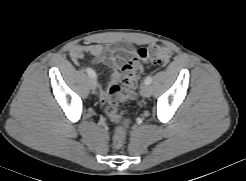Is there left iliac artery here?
<instances>
[{"instance_id":"obj_1","label":"left iliac artery","mask_w":246,"mask_h":181,"mask_svg":"<svg viewBox=\"0 0 246 181\" xmlns=\"http://www.w3.org/2000/svg\"><path fill=\"white\" fill-rule=\"evenodd\" d=\"M152 82V76H147L145 78V84H150Z\"/></svg>"}]
</instances>
